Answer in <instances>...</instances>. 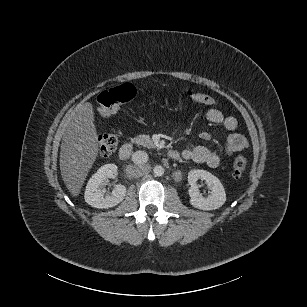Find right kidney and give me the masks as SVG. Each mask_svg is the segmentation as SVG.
<instances>
[{
	"label": "right kidney",
	"mask_w": 307,
	"mask_h": 307,
	"mask_svg": "<svg viewBox=\"0 0 307 307\" xmlns=\"http://www.w3.org/2000/svg\"><path fill=\"white\" fill-rule=\"evenodd\" d=\"M118 174L115 164L102 166L89 180L85 190V201L96 209H108L120 204L126 196L127 188L124 185H117L113 191L104 196L98 187L104 184L108 178H114Z\"/></svg>",
	"instance_id": "1"
}]
</instances>
